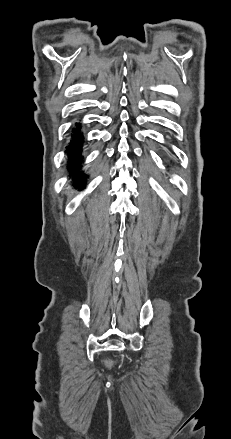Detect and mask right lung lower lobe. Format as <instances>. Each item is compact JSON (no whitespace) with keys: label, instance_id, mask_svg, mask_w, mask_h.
<instances>
[{"label":"right lung lower lobe","instance_id":"obj_1","mask_svg":"<svg viewBox=\"0 0 231 439\" xmlns=\"http://www.w3.org/2000/svg\"><path fill=\"white\" fill-rule=\"evenodd\" d=\"M80 128L77 127L73 130L72 140L67 147V153H68V170H70L72 173H74L73 176H75V187L82 189L86 177L82 176L81 173L78 174L76 171L79 170V162L82 160L81 157V149H82V143H83V135L79 133ZM70 168V169H69Z\"/></svg>","mask_w":231,"mask_h":439}]
</instances>
